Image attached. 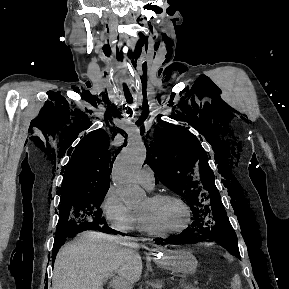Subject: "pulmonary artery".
Wrapping results in <instances>:
<instances>
[{"mask_svg":"<svg viewBox=\"0 0 289 289\" xmlns=\"http://www.w3.org/2000/svg\"><path fill=\"white\" fill-rule=\"evenodd\" d=\"M139 183L148 190H152L155 185V176L149 167H144L138 175Z\"/></svg>","mask_w":289,"mask_h":289,"instance_id":"1","label":"pulmonary artery"}]
</instances>
